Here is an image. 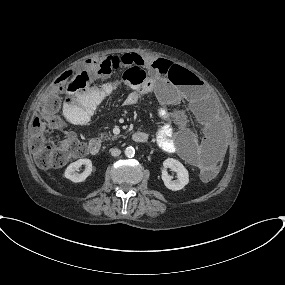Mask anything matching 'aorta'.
Returning <instances> with one entry per match:
<instances>
[{
  "instance_id": "762f6f07",
  "label": "aorta",
  "mask_w": 285,
  "mask_h": 285,
  "mask_svg": "<svg viewBox=\"0 0 285 285\" xmlns=\"http://www.w3.org/2000/svg\"><path fill=\"white\" fill-rule=\"evenodd\" d=\"M124 152L127 157H133L135 155V149L131 146L127 147Z\"/></svg>"
}]
</instances>
